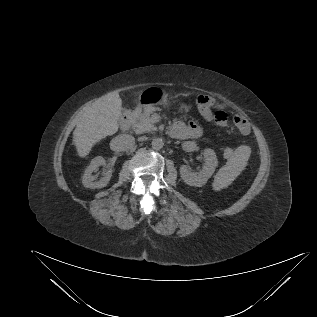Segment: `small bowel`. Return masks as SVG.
Segmentation results:
<instances>
[{"mask_svg":"<svg viewBox=\"0 0 317 317\" xmlns=\"http://www.w3.org/2000/svg\"><path fill=\"white\" fill-rule=\"evenodd\" d=\"M238 117L240 120V124H237V126L240 132L244 135L248 134L250 132V127L247 121L241 115H238ZM224 122L221 124H224ZM170 134L176 139L195 141L203 135V129L197 123L192 121H177L172 125Z\"/></svg>","mask_w":317,"mask_h":317,"instance_id":"c3829d8e","label":"small bowel"}]
</instances>
